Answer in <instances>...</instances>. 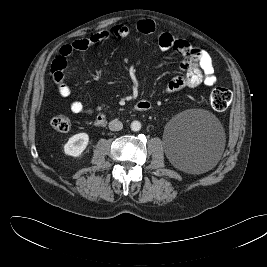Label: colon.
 <instances>
[{"instance_id": "1", "label": "colon", "mask_w": 267, "mask_h": 267, "mask_svg": "<svg viewBox=\"0 0 267 267\" xmlns=\"http://www.w3.org/2000/svg\"><path fill=\"white\" fill-rule=\"evenodd\" d=\"M232 101V94L226 88H215L209 95V102L211 107L217 112H224L227 110ZM51 124L54 129L60 132H66L71 127L70 120L62 115L56 116L52 119Z\"/></svg>"}]
</instances>
